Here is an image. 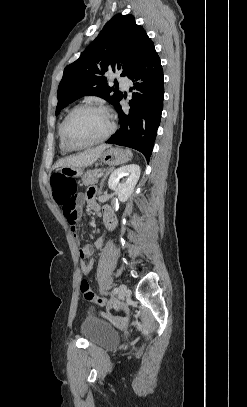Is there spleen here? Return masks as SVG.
<instances>
[{
  "label": "spleen",
  "mask_w": 247,
  "mask_h": 407,
  "mask_svg": "<svg viewBox=\"0 0 247 407\" xmlns=\"http://www.w3.org/2000/svg\"><path fill=\"white\" fill-rule=\"evenodd\" d=\"M127 152H128V154L130 155V157L133 156L132 152H131L129 149H127Z\"/></svg>",
  "instance_id": "3e777b00"
}]
</instances>
